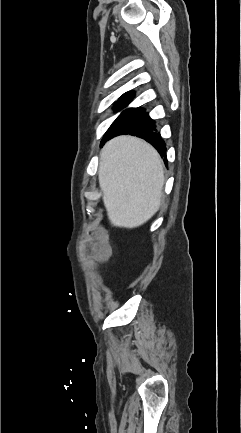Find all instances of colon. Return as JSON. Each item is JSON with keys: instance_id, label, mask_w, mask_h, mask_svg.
Listing matches in <instances>:
<instances>
[{"instance_id": "1", "label": "colon", "mask_w": 241, "mask_h": 433, "mask_svg": "<svg viewBox=\"0 0 241 433\" xmlns=\"http://www.w3.org/2000/svg\"><path fill=\"white\" fill-rule=\"evenodd\" d=\"M93 254L96 259L103 260L109 255V248L103 239L97 240L93 245Z\"/></svg>"}]
</instances>
